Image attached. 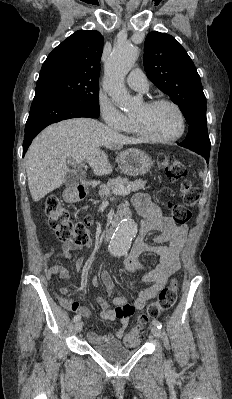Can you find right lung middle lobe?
<instances>
[{
    "label": "right lung middle lobe",
    "instance_id": "right-lung-middle-lobe-1",
    "mask_svg": "<svg viewBox=\"0 0 232 399\" xmlns=\"http://www.w3.org/2000/svg\"><path fill=\"white\" fill-rule=\"evenodd\" d=\"M56 92L94 112H100L98 83H88L71 78L57 77L37 81L36 91Z\"/></svg>",
    "mask_w": 232,
    "mask_h": 399
}]
</instances>
